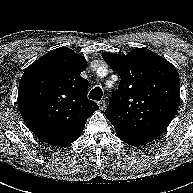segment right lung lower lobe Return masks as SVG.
<instances>
[{"instance_id": "1", "label": "right lung lower lobe", "mask_w": 193, "mask_h": 193, "mask_svg": "<svg viewBox=\"0 0 193 193\" xmlns=\"http://www.w3.org/2000/svg\"><path fill=\"white\" fill-rule=\"evenodd\" d=\"M78 138H79V136L77 138H75V139H72V140H68V141H65V142H59V143L55 144L54 146H65V145H68V144L74 142Z\"/></svg>"}]
</instances>
